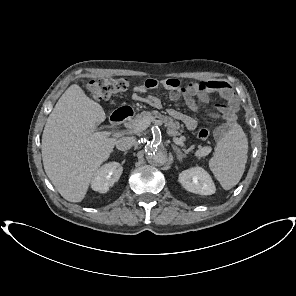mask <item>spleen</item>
<instances>
[{
	"instance_id": "spleen-1",
	"label": "spleen",
	"mask_w": 296,
	"mask_h": 296,
	"mask_svg": "<svg viewBox=\"0 0 296 296\" xmlns=\"http://www.w3.org/2000/svg\"><path fill=\"white\" fill-rule=\"evenodd\" d=\"M248 141L238 125L230 129L217 143L209 168L225 190L241 179L247 162Z\"/></svg>"
}]
</instances>
